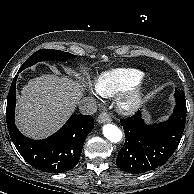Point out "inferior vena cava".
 Segmentation results:
<instances>
[{
	"instance_id": "602c4592",
	"label": "inferior vena cava",
	"mask_w": 194,
	"mask_h": 194,
	"mask_svg": "<svg viewBox=\"0 0 194 194\" xmlns=\"http://www.w3.org/2000/svg\"><path fill=\"white\" fill-rule=\"evenodd\" d=\"M79 110L81 114L92 115L97 111V104L92 97L83 98L79 103Z\"/></svg>"
}]
</instances>
